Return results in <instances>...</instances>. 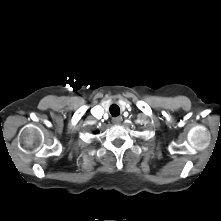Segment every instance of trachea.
<instances>
[{
    "instance_id": "1",
    "label": "trachea",
    "mask_w": 221,
    "mask_h": 221,
    "mask_svg": "<svg viewBox=\"0 0 221 221\" xmlns=\"http://www.w3.org/2000/svg\"><path fill=\"white\" fill-rule=\"evenodd\" d=\"M109 110L113 117H116L120 114V108L116 104L111 105Z\"/></svg>"
}]
</instances>
